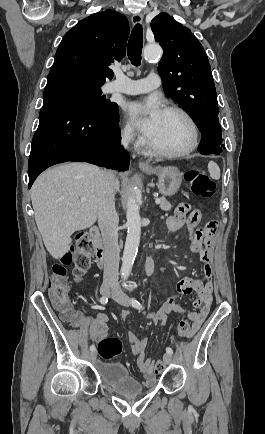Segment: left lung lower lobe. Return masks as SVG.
Returning <instances> with one entry per match:
<instances>
[{
    "label": "left lung lower lobe",
    "instance_id": "1",
    "mask_svg": "<svg viewBox=\"0 0 265 434\" xmlns=\"http://www.w3.org/2000/svg\"><path fill=\"white\" fill-rule=\"evenodd\" d=\"M225 147L214 145L211 140L202 139L198 151L203 155H219Z\"/></svg>",
    "mask_w": 265,
    "mask_h": 434
}]
</instances>
